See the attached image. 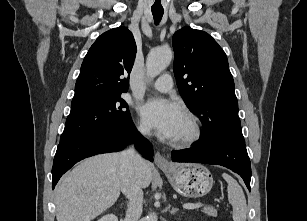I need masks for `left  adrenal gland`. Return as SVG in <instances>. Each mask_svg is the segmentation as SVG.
Returning <instances> with one entry per match:
<instances>
[{
  "label": "left adrenal gland",
  "instance_id": "left-adrenal-gland-1",
  "mask_svg": "<svg viewBox=\"0 0 307 221\" xmlns=\"http://www.w3.org/2000/svg\"><path fill=\"white\" fill-rule=\"evenodd\" d=\"M170 214H175L178 211V208H173L170 210V205L168 206Z\"/></svg>",
  "mask_w": 307,
  "mask_h": 221
}]
</instances>
